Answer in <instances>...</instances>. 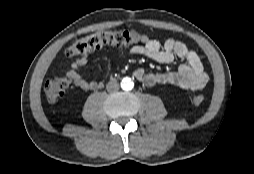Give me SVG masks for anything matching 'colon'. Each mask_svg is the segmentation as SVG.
I'll list each match as a JSON object with an SVG mask.
<instances>
[{"label":"colon","instance_id":"obj_1","mask_svg":"<svg viewBox=\"0 0 254 174\" xmlns=\"http://www.w3.org/2000/svg\"><path fill=\"white\" fill-rule=\"evenodd\" d=\"M141 34L134 29L125 30H101L88 34L73 44L66 50L68 57H79L106 44L126 45L136 43L141 40ZM70 81L65 77H57L46 81L44 93L49 102L58 101L67 92ZM204 101V96L197 94L193 96L192 102L200 105Z\"/></svg>","mask_w":254,"mask_h":174}]
</instances>
